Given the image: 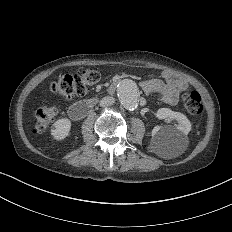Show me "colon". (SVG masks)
<instances>
[{"label": "colon", "mask_w": 232, "mask_h": 232, "mask_svg": "<svg viewBox=\"0 0 232 232\" xmlns=\"http://www.w3.org/2000/svg\"><path fill=\"white\" fill-rule=\"evenodd\" d=\"M60 81H53L52 92L56 95L65 94L71 96L73 93L83 95L87 91V86L83 82L95 84L99 80L96 71H90V68H80V74H58ZM178 107H183L189 117L199 118L203 114L200 106V96L197 91L188 89L182 94V102H178ZM58 108L53 106H40L36 108L35 121L40 131H51V117H56Z\"/></svg>", "instance_id": "colon-1"}]
</instances>
